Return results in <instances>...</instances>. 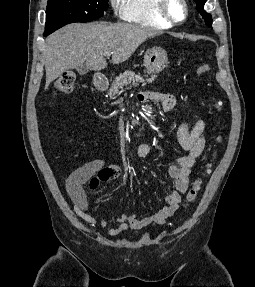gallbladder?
Listing matches in <instances>:
<instances>
[{"label": "gallbladder", "instance_id": "1", "mask_svg": "<svg viewBox=\"0 0 255 287\" xmlns=\"http://www.w3.org/2000/svg\"><path fill=\"white\" fill-rule=\"evenodd\" d=\"M78 74H87L88 70L86 68H76Z\"/></svg>", "mask_w": 255, "mask_h": 287}]
</instances>
